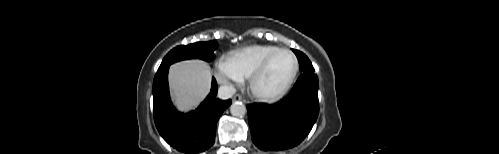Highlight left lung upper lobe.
Returning <instances> with one entry per match:
<instances>
[{"label": "left lung upper lobe", "mask_w": 499, "mask_h": 154, "mask_svg": "<svg viewBox=\"0 0 499 154\" xmlns=\"http://www.w3.org/2000/svg\"><path fill=\"white\" fill-rule=\"evenodd\" d=\"M294 53L296 54L299 64H300V71L303 72H309V73H314V68L312 66V63L308 59V57L303 54L302 52L298 50H294Z\"/></svg>", "instance_id": "1"}]
</instances>
